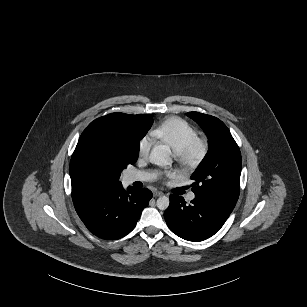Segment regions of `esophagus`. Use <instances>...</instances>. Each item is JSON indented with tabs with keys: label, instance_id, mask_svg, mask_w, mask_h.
<instances>
[{
	"label": "esophagus",
	"instance_id": "esophagus-1",
	"mask_svg": "<svg viewBox=\"0 0 307 307\" xmlns=\"http://www.w3.org/2000/svg\"><path fill=\"white\" fill-rule=\"evenodd\" d=\"M163 195H164V193L162 191L156 190V191L153 192L154 197H160V196H163Z\"/></svg>",
	"mask_w": 307,
	"mask_h": 307
}]
</instances>
